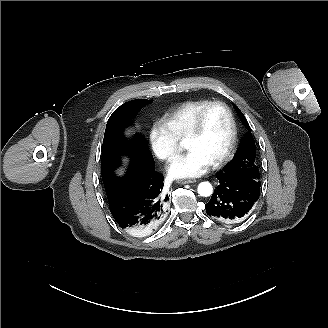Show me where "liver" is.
<instances>
[{
    "mask_svg": "<svg viewBox=\"0 0 328 328\" xmlns=\"http://www.w3.org/2000/svg\"><path fill=\"white\" fill-rule=\"evenodd\" d=\"M137 127H139V126H137ZM130 132H132V131H131V130H128V131L126 132V135H129ZM124 161L126 162L127 160L125 159ZM117 173H118L119 175H122V174H123V169H120Z\"/></svg>",
    "mask_w": 328,
    "mask_h": 328,
    "instance_id": "liver-1",
    "label": "liver"
}]
</instances>
